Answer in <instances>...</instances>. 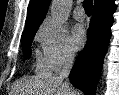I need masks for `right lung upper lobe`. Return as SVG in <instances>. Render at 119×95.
Segmentation results:
<instances>
[{
  "instance_id": "right-lung-upper-lobe-1",
  "label": "right lung upper lobe",
  "mask_w": 119,
  "mask_h": 95,
  "mask_svg": "<svg viewBox=\"0 0 119 95\" xmlns=\"http://www.w3.org/2000/svg\"><path fill=\"white\" fill-rule=\"evenodd\" d=\"M111 1L113 0H95L94 9L99 8ZM49 3L50 0H30L27 9V19L25 22L24 33L39 28V25L42 23L46 15Z\"/></svg>"
}]
</instances>
